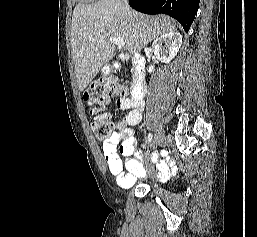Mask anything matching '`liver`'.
<instances>
[{"label": "liver", "instance_id": "liver-1", "mask_svg": "<svg viewBox=\"0 0 257 237\" xmlns=\"http://www.w3.org/2000/svg\"><path fill=\"white\" fill-rule=\"evenodd\" d=\"M174 31V21L169 17L127 10L120 0L78 3L72 16L71 44L79 90L84 91L114 57L116 47L108 37L123 39L129 53L137 54L155 38Z\"/></svg>", "mask_w": 257, "mask_h": 237}]
</instances>
